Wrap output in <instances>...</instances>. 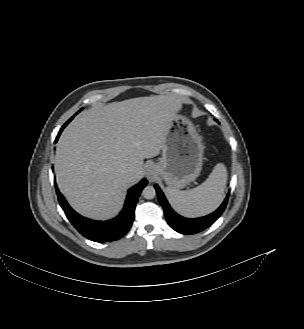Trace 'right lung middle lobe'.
Here are the masks:
<instances>
[{
    "label": "right lung middle lobe",
    "instance_id": "dd1d6c3e",
    "mask_svg": "<svg viewBox=\"0 0 304 329\" xmlns=\"http://www.w3.org/2000/svg\"><path fill=\"white\" fill-rule=\"evenodd\" d=\"M78 113H79V111H78L76 114H78ZM72 119H73V117L70 118V119L65 123V125H67Z\"/></svg>",
    "mask_w": 304,
    "mask_h": 329
}]
</instances>
